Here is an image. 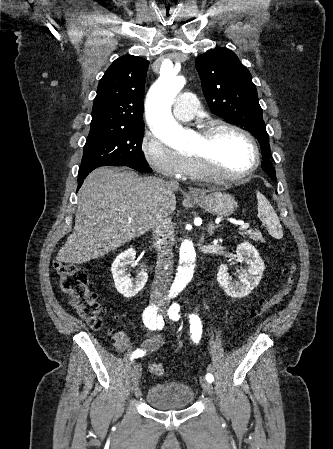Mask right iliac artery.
I'll return each instance as SVG.
<instances>
[{
    "label": "right iliac artery",
    "mask_w": 333,
    "mask_h": 449,
    "mask_svg": "<svg viewBox=\"0 0 333 449\" xmlns=\"http://www.w3.org/2000/svg\"><path fill=\"white\" fill-rule=\"evenodd\" d=\"M143 321L150 330L162 329L164 321L162 316L157 315V307L155 305L148 306L143 313ZM145 352L141 349L135 350L131 355V360L144 356Z\"/></svg>",
    "instance_id": "right-iliac-artery-1"
}]
</instances>
